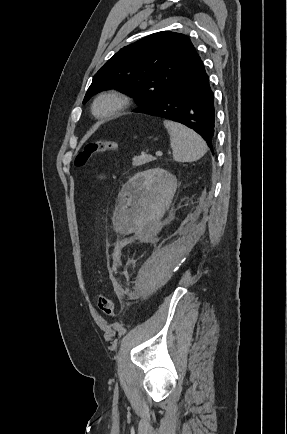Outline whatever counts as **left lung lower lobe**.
<instances>
[{
    "label": "left lung lower lobe",
    "instance_id": "obj_1",
    "mask_svg": "<svg viewBox=\"0 0 287 434\" xmlns=\"http://www.w3.org/2000/svg\"><path fill=\"white\" fill-rule=\"evenodd\" d=\"M214 95L201 59L152 106L136 112L180 122L195 130L211 150L215 138Z\"/></svg>",
    "mask_w": 287,
    "mask_h": 434
}]
</instances>
